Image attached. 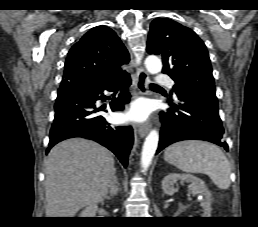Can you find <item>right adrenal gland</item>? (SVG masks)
Here are the masks:
<instances>
[{
  "label": "right adrenal gland",
  "mask_w": 258,
  "mask_h": 227,
  "mask_svg": "<svg viewBox=\"0 0 258 227\" xmlns=\"http://www.w3.org/2000/svg\"><path fill=\"white\" fill-rule=\"evenodd\" d=\"M119 192V182H118V178L116 176V168L114 169V174H113V178L110 181L109 184V199H111L112 197L116 196Z\"/></svg>",
  "instance_id": "1"
}]
</instances>
